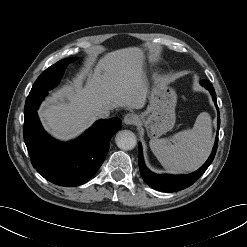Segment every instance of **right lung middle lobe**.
I'll list each match as a JSON object with an SVG mask.
<instances>
[{
	"instance_id": "right-lung-middle-lobe-1",
	"label": "right lung middle lobe",
	"mask_w": 247,
	"mask_h": 247,
	"mask_svg": "<svg viewBox=\"0 0 247 247\" xmlns=\"http://www.w3.org/2000/svg\"><path fill=\"white\" fill-rule=\"evenodd\" d=\"M72 61V59H62L47 68L34 83L28 97L38 98L46 95L48 90L58 84L67 64Z\"/></svg>"
}]
</instances>
